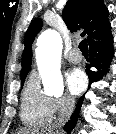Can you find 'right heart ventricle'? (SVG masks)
Returning <instances> with one entry per match:
<instances>
[{
    "mask_svg": "<svg viewBox=\"0 0 116 134\" xmlns=\"http://www.w3.org/2000/svg\"><path fill=\"white\" fill-rule=\"evenodd\" d=\"M20 115L22 122L29 127L45 126L53 118L51 98L40 90L35 73L30 75L23 90Z\"/></svg>",
    "mask_w": 116,
    "mask_h": 134,
    "instance_id": "e07e8e85",
    "label": "right heart ventricle"
}]
</instances>
